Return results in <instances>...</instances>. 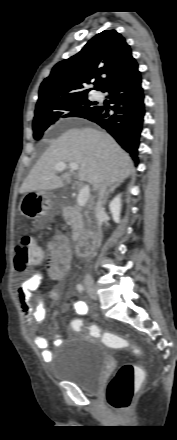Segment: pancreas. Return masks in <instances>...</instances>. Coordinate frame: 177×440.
<instances>
[{
	"label": "pancreas",
	"mask_w": 177,
	"mask_h": 440,
	"mask_svg": "<svg viewBox=\"0 0 177 440\" xmlns=\"http://www.w3.org/2000/svg\"><path fill=\"white\" fill-rule=\"evenodd\" d=\"M62 216L71 223L73 241L79 240L88 233L90 227L88 212L76 206H63Z\"/></svg>",
	"instance_id": "obj_1"
}]
</instances>
